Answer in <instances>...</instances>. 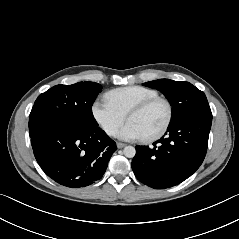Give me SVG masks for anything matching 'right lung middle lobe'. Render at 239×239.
Here are the masks:
<instances>
[{
  "label": "right lung middle lobe",
  "mask_w": 239,
  "mask_h": 239,
  "mask_svg": "<svg viewBox=\"0 0 239 239\" xmlns=\"http://www.w3.org/2000/svg\"><path fill=\"white\" fill-rule=\"evenodd\" d=\"M101 91L100 84L86 81L73 85H56L40 94L30 113V136L50 127L86 129L97 126L92 105Z\"/></svg>",
  "instance_id": "obj_1"
}]
</instances>
